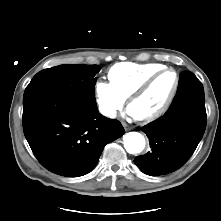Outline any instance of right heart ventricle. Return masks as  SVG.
<instances>
[{
    "mask_svg": "<svg viewBox=\"0 0 221 221\" xmlns=\"http://www.w3.org/2000/svg\"><path fill=\"white\" fill-rule=\"evenodd\" d=\"M164 67L159 63L137 64L123 62L111 67L107 75L111 85L121 97L128 99L149 76Z\"/></svg>",
    "mask_w": 221,
    "mask_h": 221,
    "instance_id": "right-heart-ventricle-1",
    "label": "right heart ventricle"
}]
</instances>
